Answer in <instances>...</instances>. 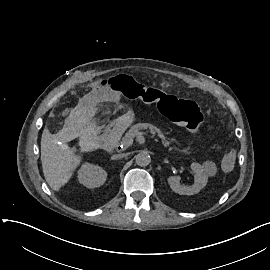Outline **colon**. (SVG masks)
<instances>
[{"instance_id": "5ec220e1", "label": "colon", "mask_w": 270, "mask_h": 270, "mask_svg": "<svg viewBox=\"0 0 270 270\" xmlns=\"http://www.w3.org/2000/svg\"><path fill=\"white\" fill-rule=\"evenodd\" d=\"M110 86L128 99H138L146 105L156 104L161 114L188 131H197L203 123V116L193 100L146 87L130 76L114 77ZM219 170L224 175L233 174L236 170L235 156L231 153L222 154L219 158Z\"/></svg>"}]
</instances>
